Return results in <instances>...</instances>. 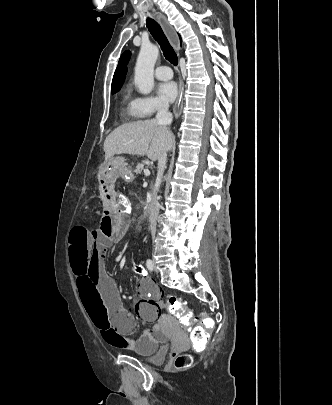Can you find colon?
Instances as JSON below:
<instances>
[{
  "mask_svg": "<svg viewBox=\"0 0 332 405\" xmlns=\"http://www.w3.org/2000/svg\"><path fill=\"white\" fill-rule=\"evenodd\" d=\"M117 192V202L114 204L116 213H120L122 216H129L132 209V200L128 199L127 196L120 191ZM132 271L134 273H139L141 278L147 277V272L144 271V263L142 261H137L133 263ZM166 306L168 310L176 316L180 323L183 324L185 328H192L194 326V319L192 312L189 307H186L182 301L174 295H167ZM199 326L195 327L191 332V340L193 344L197 347H201L206 344L209 338V333L211 331V324L213 323L212 315H199L198 316ZM174 365L176 368L181 369L190 365L191 359L187 354L184 353H174Z\"/></svg>",
  "mask_w": 332,
  "mask_h": 405,
  "instance_id": "colon-1",
  "label": "colon"
}]
</instances>
